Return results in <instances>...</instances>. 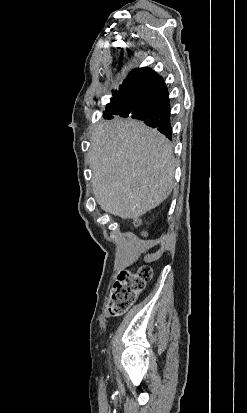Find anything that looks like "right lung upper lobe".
<instances>
[{"label": "right lung upper lobe", "instance_id": "right-lung-upper-lobe-1", "mask_svg": "<svg viewBox=\"0 0 247 413\" xmlns=\"http://www.w3.org/2000/svg\"><path fill=\"white\" fill-rule=\"evenodd\" d=\"M143 70H150V69H149V68H143V69L134 70V71L128 76V79L125 80L124 82H128L131 77H133L136 73H139L140 71H143Z\"/></svg>", "mask_w": 247, "mask_h": 413}]
</instances>
